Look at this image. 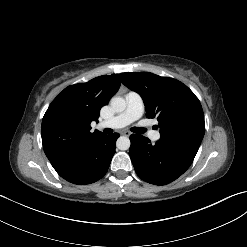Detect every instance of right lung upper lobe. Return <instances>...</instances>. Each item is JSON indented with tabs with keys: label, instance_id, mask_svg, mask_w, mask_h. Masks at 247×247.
<instances>
[{
	"label": "right lung upper lobe",
	"instance_id": "right-lung-upper-lobe-1",
	"mask_svg": "<svg viewBox=\"0 0 247 247\" xmlns=\"http://www.w3.org/2000/svg\"><path fill=\"white\" fill-rule=\"evenodd\" d=\"M121 75L100 76L64 89L50 104L42 120V144L48 159L74 154L102 132H90L100 109L120 87Z\"/></svg>",
	"mask_w": 247,
	"mask_h": 247
}]
</instances>
